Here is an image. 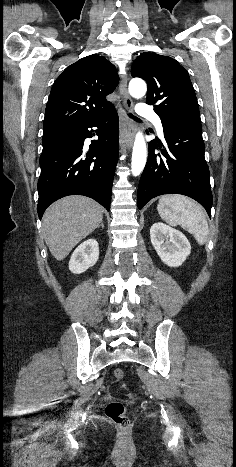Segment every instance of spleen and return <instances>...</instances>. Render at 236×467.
Here are the masks:
<instances>
[{"mask_svg": "<svg viewBox=\"0 0 236 467\" xmlns=\"http://www.w3.org/2000/svg\"><path fill=\"white\" fill-rule=\"evenodd\" d=\"M160 217L171 226L180 225L193 234L203 245L209 234L208 223L202 208L193 200L182 195H165L158 202Z\"/></svg>", "mask_w": 236, "mask_h": 467, "instance_id": "spleen-1", "label": "spleen"}]
</instances>
